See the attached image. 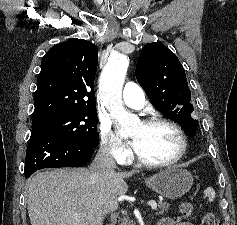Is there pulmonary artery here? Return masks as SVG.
Wrapping results in <instances>:
<instances>
[{
  "label": "pulmonary artery",
  "mask_w": 237,
  "mask_h": 225,
  "mask_svg": "<svg viewBox=\"0 0 237 225\" xmlns=\"http://www.w3.org/2000/svg\"><path fill=\"white\" fill-rule=\"evenodd\" d=\"M123 102L135 109H140L145 105V94L143 89L135 82H127L122 93Z\"/></svg>",
  "instance_id": "1"
}]
</instances>
